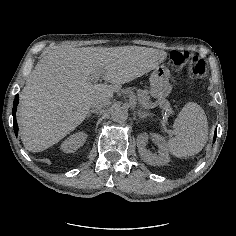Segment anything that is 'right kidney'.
<instances>
[{"instance_id":"1","label":"right kidney","mask_w":236,"mask_h":236,"mask_svg":"<svg viewBox=\"0 0 236 236\" xmlns=\"http://www.w3.org/2000/svg\"><path fill=\"white\" fill-rule=\"evenodd\" d=\"M86 141V135L84 133H77L72 135L67 141L62 144V151L74 152L81 147Z\"/></svg>"}]
</instances>
